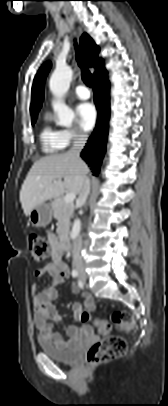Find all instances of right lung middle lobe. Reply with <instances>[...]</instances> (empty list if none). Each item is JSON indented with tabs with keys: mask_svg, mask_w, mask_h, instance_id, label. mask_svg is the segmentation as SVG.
<instances>
[{
	"mask_svg": "<svg viewBox=\"0 0 168 406\" xmlns=\"http://www.w3.org/2000/svg\"><path fill=\"white\" fill-rule=\"evenodd\" d=\"M35 120H36V119H33V120H32V125L35 123Z\"/></svg>",
	"mask_w": 168,
	"mask_h": 406,
	"instance_id": "1",
	"label": "right lung middle lobe"
}]
</instances>
